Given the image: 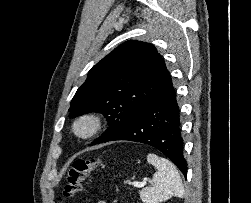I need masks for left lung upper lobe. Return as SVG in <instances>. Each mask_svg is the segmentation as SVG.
Wrapping results in <instances>:
<instances>
[{"label":"left lung upper lobe","mask_w":251,"mask_h":203,"mask_svg":"<svg viewBox=\"0 0 251 203\" xmlns=\"http://www.w3.org/2000/svg\"><path fill=\"white\" fill-rule=\"evenodd\" d=\"M168 73L152 44L127 41L90 69L72 99L69 116L103 113L109 128L91 145L107 142L156 95Z\"/></svg>","instance_id":"obj_1"}]
</instances>
